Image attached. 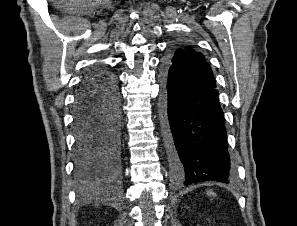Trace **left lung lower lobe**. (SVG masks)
Segmentation results:
<instances>
[{
  "label": "left lung lower lobe",
  "instance_id": "left-lung-lower-lobe-1",
  "mask_svg": "<svg viewBox=\"0 0 297 226\" xmlns=\"http://www.w3.org/2000/svg\"><path fill=\"white\" fill-rule=\"evenodd\" d=\"M161 121L176 183H229L233 167L218 91L186 85L166 60L161 71Z\"/></svg>",
  "mask_w": 297,
  "mask_h": 226
}]
</instances>
